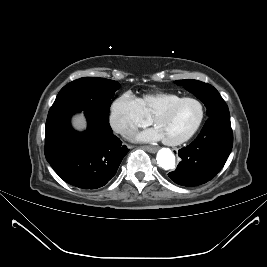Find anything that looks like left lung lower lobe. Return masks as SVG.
I'll use <instances>...</instances> for the list:
<instances>
[{
    "mask_svg": "<svg viewBox=\"0 0 267 267\" xmlns=\"http://www.w3.org/2000/svg\"><path fill=\"white\" fill-rule=\"evenodd\" d=\"M232 145L230 116L209 117L198 137L178 151L182 160L168 175L175 183L186 187L206 183L222 169Z\"/></svg>",
    "mask_w": 267,
    "mask_h": 267,
    "instance_id": "1",
    "label": "left lung lower lobe"
}]
</instances>
